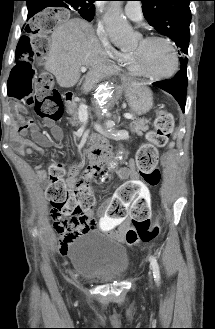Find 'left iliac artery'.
Here are the masks:
<instances>
[{"label": "left iliac artery", "mask_w": 215, "mask_h": 329, "mask_svg": "<svg viewBox=\"0 0 215 329\" xmlns=\"http://www.w3.org/2000/svg\"><path fill=\"white\" fill-rule=\"evenodd\" d=\"M150 263H151L152 270H153L154 280L157 283V285H159L160 284V269H159L158 262L154 256H150Z\"/></svg>", "instance_id": "obj_1"}]
</instances>
